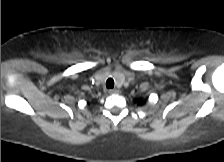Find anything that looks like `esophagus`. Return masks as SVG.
<instances>
[{
    "instance_id": "obj_1",
    "label": "esophagus",
    "mask_w": 224,
    "mask_h": 162,
    "mask_svg": "<svg viewBox=\"0 0 224 162\" xmlns=\"http://www.w3.org/2000/svg\"><path fill=\"white\" fill-rule=\"evenodd\" d=\"M119 91L117 89H109L108 93L109 94H117Z\"/></svg>"
}]
</instances>
